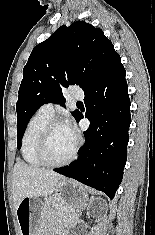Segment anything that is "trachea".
Masks as SVG:
<instances>
[{
	"label": "trachea",
	"mask_w": 155,
	"mask_h": 235,
	"mask_svg": "<svg viewBox=\"0 0 155 235\" xmlns=\"http://www.w3.org/2000/svg\"><path fill=\"white\" fill-rule=\"evenodd\" d=\"M77 104H81V102H77Z\"/></svg>",
	"instance_id": "3493384b"
}]
</instances>
